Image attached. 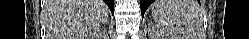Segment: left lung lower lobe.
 Returning a JSON list of instances; mask_svg holds the SVG:
<instances>
[{
    "label": "left lung lower lobe",
    "mask_w": 249,
    "mask_h": 39,
    "mask_svg": "<svg viewBox=\"0 0 249 39\" xmlns=\"http://www.w3.org/2000/svg\"><path fill=\"white\" fill-rule=\"evenodd\" d=\"M154 0H140V7H141V13H142V18L144 16V13L146 9L149 7V5L153 2Z\"/></svg>",
    "instance_id": "obj_1"
}]
</instances>
